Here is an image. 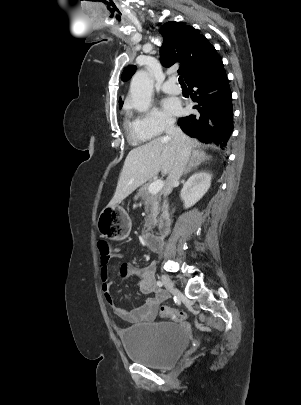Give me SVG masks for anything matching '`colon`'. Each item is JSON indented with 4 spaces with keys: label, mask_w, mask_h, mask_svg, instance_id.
Wrapping results in <instances>:
<instances>
[{
    "label": "colon",
    "mask_w": 301,
    "mask_h": 405,
    "mask_svg": "<svg viewBox=\"0 0 301 405\" xmlns=\"http://www.w3.org/2000/svg\"><path fill=\"white\" fill-rule=\"evenodd\" d=\"M98 249L102 257H108L111 253L110 245L104 240L98 242ZM160 315L161 317L169 318L175 322H183L187 318L185 312L178 309L169 308L167 306H162L160 308Z\"/></svg>",
    "instance_id": "1"
}]
</instances>
